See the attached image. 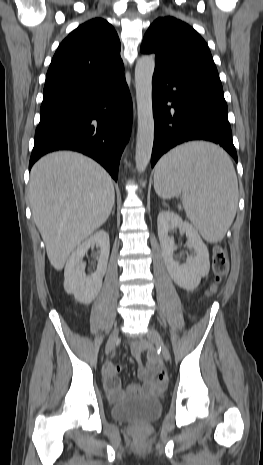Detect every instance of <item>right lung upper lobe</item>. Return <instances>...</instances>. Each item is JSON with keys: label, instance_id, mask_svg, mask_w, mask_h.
Listing matches in <instances>:
<instances>
[{"label": "right lung upper lobe", "instance_id": "obj_1", "mask_svg": "<svg viewBox=\"0 0 263 465\" xmlns=\"http://www.w3.org/2000/svg\"><path fill=\"white\" fill-rule=\"evenodd\" d=\"M120 41L102 18L80 25L59 45L47 72L43 96L115 81L124 74Z\"/></svg>", "mask_w": 263, "mask_h": 465}]
</instances>
